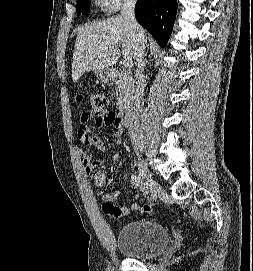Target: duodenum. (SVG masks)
I'll use <instances>...</instances> for the list:
<instances>
[{
	"label": "duodenum",
	"instance_id": "duodenum-1",
	"mask_svg": "<svg viewBox=\"0 0 253 271\" xmlns=\"http://www.w3.org/2000/svg\"><path fill=\"white\" fill-rule=\"evenodd\" d=\"M134 120V109L131 105H127L123 108H121L117 122L121 124L122 126H128L132 123Z\"/></svg>",
	"mask_w": 253,
	"mask_h": 271
}]
</instances>
